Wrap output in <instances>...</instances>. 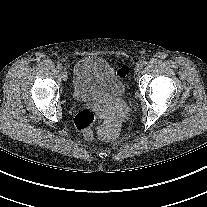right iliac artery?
<instances>
[{"label": "right iliac artery", "instance_id": "1", "mask_svg": "<svg viewBox=\"0 0 207 207\" xmlns=\"http://www.w3.org/2000/svg\"><path fill=\"white\" fill-rule=\"evenodd\" d=\"M57 68H58L59 70H62V69H63V65H62V64H58V65H57Z\"/></svg>", "mask_w": 207, "mask_h": 207}]
</instances>
